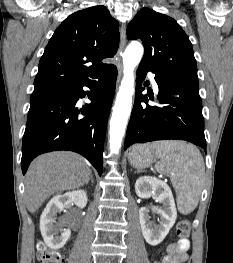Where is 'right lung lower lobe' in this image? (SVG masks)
<instances>
[{"mask_svg": "<svg viewBox=\"0 0 233 263\" xmlns=\"http://www.w3.org/2000/svg\"><path fill=\"white\" fill-rule=\"evenodd\" d=\"M116 78V67L108 65L93 78L32 93L22 143L23 174L36 156L57 150L83 155L102 174L104 140ZM84 86L92 92H85ZM86 95L91 103L79 108L78 100Z\"/></svg>", "mask_w": 233, "mask_h": 263, "instance_id": "98d812e1", "label": "right lung lower lobe"}]
</instances>
